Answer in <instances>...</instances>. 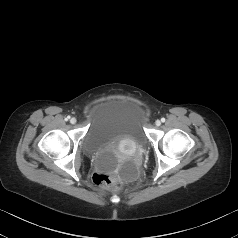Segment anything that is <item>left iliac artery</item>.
Masks as SVG:
<instances>
[{"label":"left iliac artery","mask_w":238,"mask_h":238,"mask_svg":"<svg viewBox=\"0 0 238 238\" xmlns=\"http://www.w3.org/2000/svg\"><path fill=\"white\" fill-rule=\"evenodd\" d=\"M165 120H166L165 118H162V119H161L162 122H165Z\"/></svg>","instance_id":"44dca946"}]
</instances>
